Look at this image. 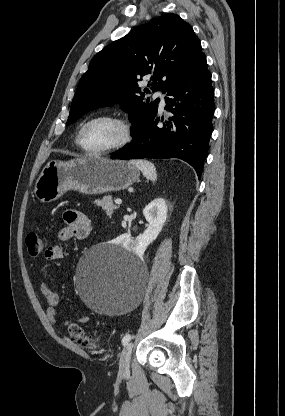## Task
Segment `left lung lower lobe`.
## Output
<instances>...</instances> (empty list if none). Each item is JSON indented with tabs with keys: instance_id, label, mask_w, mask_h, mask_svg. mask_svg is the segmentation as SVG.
Segmentation results:
<instances>
[{
	"instance_id": "1",
	"label": "left lung lower lobe",
	"mask_w": 285,
	"mask_h": 416,
	"mask_svg": "<svg viewBox=\"0 0 285 416\" xmlns=\"http://www.w3.org/2000/svg\"><path fill=\"white\" fill-rule=\"evenodd\" d=\"M167 95L171 98L165 97V109L173 116L165 120L164 127H157L159 119L154 118L111 158H179L189 163L200 179L214 114V89L204 55L167 90Z\"/></svg>"
}]
</instances>
